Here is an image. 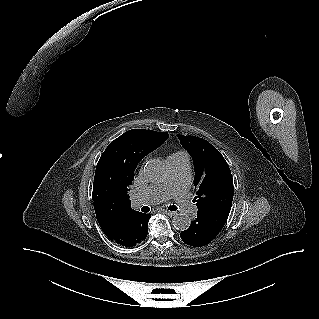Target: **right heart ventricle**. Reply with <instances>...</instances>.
Segmentation results:
<instances>
[{"label": "right heart ventricle", "instance_id": "1", "mask_svg": "<svg viewBox=\"0 0 319 319\" xmlns=\"http://www.w3.org/2000/svg\"><path fill=\"white\" fill-rule=\"evenodd\" d=\"M181 155H184V153H182V152H177V153H174V154L170 155L168 158L177 157V156H181Z\"/></svg>", "mask_w": 319, "mask_h": 319}]
</instances>
